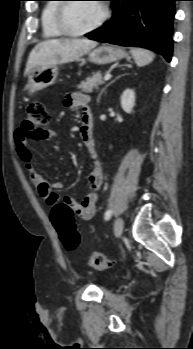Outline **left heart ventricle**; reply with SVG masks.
Segmentation results:
<instances>
[{"instance_id":"left-heart-ventricle-1","label":"left heart ventricle","mask_w":193,"mask_h":349,"mask_svg":"<svg viewBox=\"0 0 193 349\" xmlns=\"http://www.w3.org/2000/svg\"><path fill=\"white\" fill-rule=\"evenodd\" d=\"M102 7L95 2L72 3L66 12L70 29L79 31L93 25L101 16Z\"/></svg>"}]
</instances>
